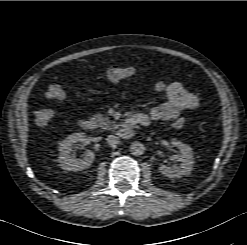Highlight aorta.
Instances as JSON below:
<instances>
[{"label":"aorta","instance_id":"1","mask_svg":"<svg viewBox=\"0 0 247 245\" xmlns=\"http://www.w3.org/2000/svg\"><path fill=\"white\" fill-rule=\"evenodd\" d=\"M144 151H145V146L141 142L135 141L131 143L130 152L132 155L140 156L144 153Z\"/></svg>","mask_w":247,"mask_h":245}]
</instances>
